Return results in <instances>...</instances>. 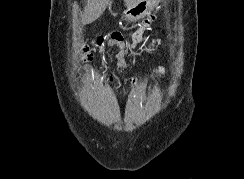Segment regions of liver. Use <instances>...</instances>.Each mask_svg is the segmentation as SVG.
Wrapping results in <instances>:
<instances>
[{"instance_id": "liver-1", "label": "liver", "mask_w": 244, "mask_h": 179, "mask_svg": "<svg viewBox=\"0 0 244 179\" xmlns=\"http://www.w3.org/2000/svg\"><path fill=\"white\" fill-rule=\"evenodd\" d=\"M108 2L109 0H88V6H86L82 16L84 24H90V22L97 20L104 12Z\"/></svg>"}]
</instances>
